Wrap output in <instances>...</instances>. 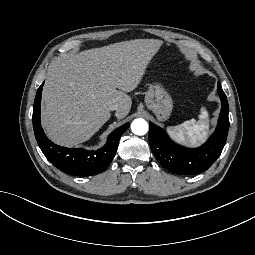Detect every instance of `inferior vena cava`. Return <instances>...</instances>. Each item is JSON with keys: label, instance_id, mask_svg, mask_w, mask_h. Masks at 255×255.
I'll return each instance as SVG.
<instances>
[{"label": "inferior vena cava", "instance_id": "602c4592", "mask_svg": "<svg viewBox=\"0 0 255 255\" xmlns=\"http://www.w3.org/2000/svg\"><path fill=\"white\" fill-rule=\"evenodd\" d=\"M110 110H118L119 109V104L118 103H113L109 106Z\"/></svg>", "mask_w": 255, "mask_h": 255}]
</instances>
